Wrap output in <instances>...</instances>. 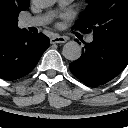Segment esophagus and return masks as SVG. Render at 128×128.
Returning a JSON list of instances; mask_svg holds the SVG:
<instances>
[{"mask_svg":"<svg viewBox=\"0 0 128 128\" xmlns=\"http://www.w3.org/2000/svg\"><path fill=\"white\" fill-rule=\"evenodd\" d=\"M66 41L67 39L64 36H53L50 38L51 44H60V43H65Z\"/></svg>","mask_w":128,"mask_h":128,"instance_id":"esophagus-1","label":"esophagus"}]
</instances>
